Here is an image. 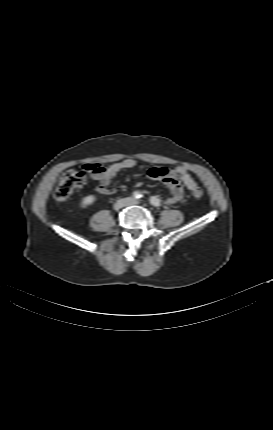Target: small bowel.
Wrapping results in <instances>:
<instances>
[{"instance_id": "obj_1", "label": "small bowel", "mask_w": 273, "mask_h": 430, "mask_svg": "<svg viewBox=\"0 0 273 430\" xmlns=\"http://www.w3.org/2000/svg\"><path fill=\"white\" fill-rule=\"evenodd\" d=\"M137 161L134 159H124L103 167L102 163H82L80 170L86 175H91L92 179L98 182L96 192L99 195H110L116 192V188L109 187L111 180L122 170L134 168ZM148 176L152 179L162 181L169 189L170 196L167 199L169 204L180 202L184 197V187L188 190L197 188L196 181L183 166L169 170L165 167L151 168Z\"/></svg>"}]
</instances>
